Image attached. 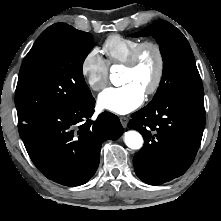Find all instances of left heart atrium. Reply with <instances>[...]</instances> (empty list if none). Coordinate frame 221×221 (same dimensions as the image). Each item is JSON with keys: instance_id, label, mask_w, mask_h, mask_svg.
<instances>
[{"instance_id": "left-heart-atrium-1", "label": "left heart atrium", "mask_w": 221, "mask_h": 221, "mask_svg": "<svg viewBox=\"0 0 221 221\" xmlns=\"http://www.w3.org/2000/svg\"><path fill=\"white\" fill-rule=\"evenodd\" d=\"M144 91L134 82L119 87H109L98 97L100 108L116 114H127L144 101Z\"/></svg>"}]
</instances>
